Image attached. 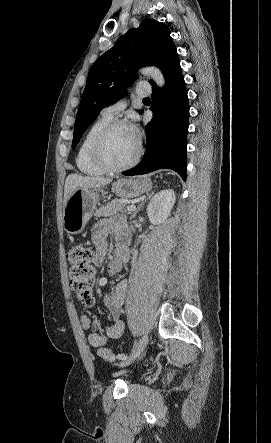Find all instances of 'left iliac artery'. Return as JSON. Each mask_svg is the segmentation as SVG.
Returning <instances> with one entry per match:
<instances>
[{"label":"left iliac artery","instance_id":"left-iliac-artery-1","mask_svg":"<svg viewBox=\"0 0 271 443\" xmlns=\"http://www.w3.org/2000/svg\"><path fill=\"white\" fill-rule=\"evenodd\" d=\"M117 358L119 360H126L128 358V356L126 354L121 353V354L117 355Z\"/></svg>","mask_w":271,"mask_h":443}]
</instances>
